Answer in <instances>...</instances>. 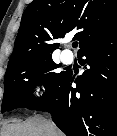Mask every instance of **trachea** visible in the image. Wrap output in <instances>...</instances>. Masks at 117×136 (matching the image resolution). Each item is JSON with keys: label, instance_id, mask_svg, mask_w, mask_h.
<instances>
[{"label": "trachea", "instance_id": "3493384b", "mask_svg": "<svg viewBox=\"0 0 117 136\" xmlns=\"http://www.w3.org/2000/svg\"><path fill=\"white\" fill-rule=\"evenodd\" d=\"M77 45H78V42H76V41H74V42L72 43V47H73V48H76Z\"/></svg>", "mask_w": 117, "mask_h": 136}]
</instances>
